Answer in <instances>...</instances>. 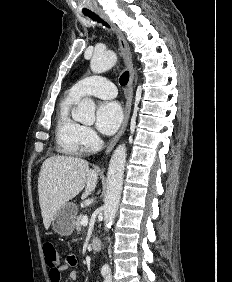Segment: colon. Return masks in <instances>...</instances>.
Here are the masks:
<instances>
[{"label": "colon", "mask_w": 232, "mask_h": 282, "mask_svg": "<svg viewBox=\"0 0 232 282\" xmlns=\"http://www.w3.org/2000/svg\"><path fill=\"white\" fill-rule=\"evenodd\" d=\"M45 262L50 271L55 272L59 266L60 258L57 249L51 242H45L43 245Z\"/></svg>", "instance_id": "colon-1"}]
</instances>
